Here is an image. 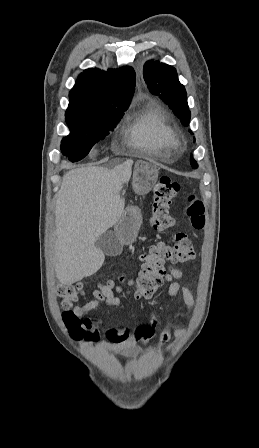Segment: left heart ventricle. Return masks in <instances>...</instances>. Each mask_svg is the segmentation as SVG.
<instances>
[{"mask_svg":"<svg viewBox=\"0 0 259 448\" xmlns=\"http://www.w3.org/2000/svg\"><path fill=\"white\" fill-rule=\"evenodd\" d=\"M147 153H150V154H152L153 152H151V151H146Z\"/></svg>","mask_w":259,"mask_h":448,"instance_id":"obj_1","label":"left heart ventricle"}]
</instances>
